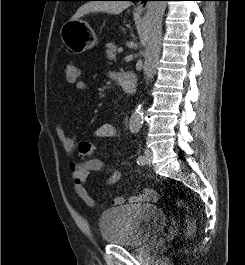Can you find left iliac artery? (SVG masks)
<instances>
[{
  "instance_id": "44dca946",
  "label": "left iliac artery",
  "mask_w": 245,
  "mask_h": 265,
  "mask_svg": "<svg viewBox=\"0 0 245 265\" xmlns=\"http://www.w3.org/2000/svg\"><path fill=\"white\" fill-rule=\"evenodd\" d=\"M143 162H144V156H142V155L138 156L137 163L138 164H143Z\"/></svg>"
}]
</instances>
